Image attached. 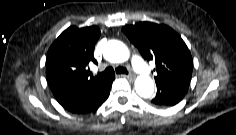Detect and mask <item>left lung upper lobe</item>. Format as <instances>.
Returning <instances> with one entry per match:
<instances>
[{"mask_svg":"<svg viewBox=\"0 0 236 135\" xmlns=\"http://www.w3.org/2000/svg\"><path fill=\"white\" fill-rule=\"evenodd\" d=\"M123 32L147 61L156 64L155 82L190 81L193 61L180 35L164 24L139 22L123 27Z\"/></svg>","mask_w":236,"mask_h":135,"instance_id":"left-lung-upper-lobe-1","label":"left lung upper lobe"}]
</instances>
